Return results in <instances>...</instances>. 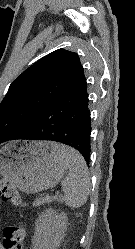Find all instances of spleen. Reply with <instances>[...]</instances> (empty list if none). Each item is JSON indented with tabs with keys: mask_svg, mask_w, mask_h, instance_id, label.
<instances>
[{
	"mask_svg": "<svg viewBox=\"0 0 135 249\" xmlns=\"http://www.w3.org/2000/svg\"><path fill=\"white\" fill-rule=\"evenodd\" d=\"M52 150L68 164V173L62 180L63 200L70 208H79L87 202L91 181L83 156L73 148L52 143Z\"/></svg>",
	"mask_w": 135,
	"mask_h": 249,
	"instance_id": "3e777b00",
	"label": "spleen"
}]
</instances>
